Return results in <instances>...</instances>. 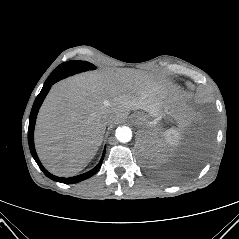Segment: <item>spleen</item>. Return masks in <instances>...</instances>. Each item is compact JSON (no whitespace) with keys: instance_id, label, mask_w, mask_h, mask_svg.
<instances>
[{"instance_id":"3e777b00","label":"spleen","mask_w":239,"mask_h":239,"mask_svg":"<svg viewBox=\"0 0 239 239\" xmlns=\"http://www.w3.org/2000/svg\"><path fill=\"white\" fill-rule=\"evenodd\" d=\"M162 137L164 139V143L171 147L176 146L181 139L180 132L174 128H170L163 132Z\"/></svg>"}]
</instances>
